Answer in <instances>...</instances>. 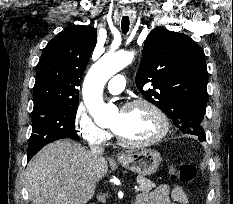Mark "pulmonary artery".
<instances>
[{
    "instance_id": "1",
    "label": "pulmonary artery",
    "mask_w": 233,
    "mask_h": 204,
    "mask_svg": "<svg viewBox=\"0 0 233 204\" xmlns=\"http://www.w3.org/2000/svg\"><path fill=\"white\" fill-rule=\"evenodd\" d=\"M125 88V77L121 74L113 76L107 84V90L111 94H119Z\"/></svg>"
}]
</instances>
